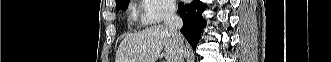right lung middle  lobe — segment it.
<instances>
[{"label": "right lung middle lobe", "mask_w": 331, "mask_h": 62, "mask_svg": "<svg viewBox=\"0 0 331 62\" xmlns=\"http://www.w3.org/2000/svg\"><path fill=\"white\" fill-rule=\"evenodd\" d=\"M128 1L127 0H122L118 3H116V9H122L125 10L128 8Z\"/></svg>", "instance_id": "dd1d6c3e"}]
</instances>
